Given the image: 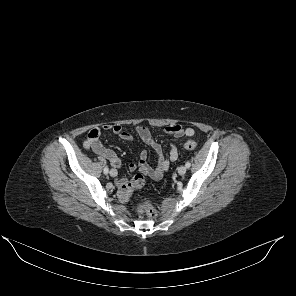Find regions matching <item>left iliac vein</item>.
<instances>
[{
    "label": "left iliac vein",
    "instance_id": "left-iliac-vein-1",
    "mask_svg": "<svg viewBox=\"0 0 296 296\" xmlns=\"http://www.w3.org/2000/svg\"><path fill=\"white\" fill-rule=\"evenodd\" d=\"M186 171H187V168L185 166H180L178 168V174L179 175H184L186 173Z\"/></svg>",
    "mask_w": 296,
    "mask_h": 296
}]
</instances>
